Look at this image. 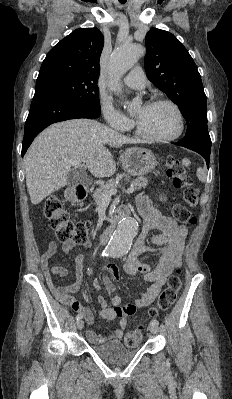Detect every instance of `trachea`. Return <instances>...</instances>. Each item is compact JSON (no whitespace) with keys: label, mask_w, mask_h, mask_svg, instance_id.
Masks as SVG:
<instances>
[{"label":"trachea","mask_w":232,"mask_h":399,"mask_svg":"<svg viewBox=\"0 0 232 399\" xmlns=\"http://www.w3.org/2000/svg\"><path fill=\"white\" fill-rule=\"evenodd\" d=\"M120 3H126V0H119Z\"/></svg>","instance_id":"obj_1"}]
</instances>
